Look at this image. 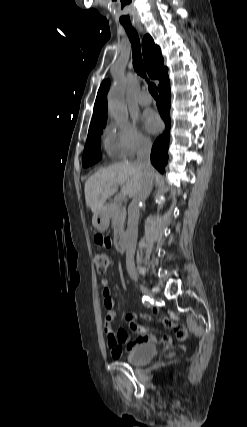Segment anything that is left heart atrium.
Masks as SVG:
<instances>
[{"mask_svg": "<svg viewBox=\"0 0 247 427\" xmlns=\"http://www.w3.org/2000/svg\"><path fill=\"white\" fill-rule=\"evenodd\" d=\"M145 128L151 133H157L162 128V122L157 114L149 112L144 117Z\"/></svg>", "mask_w": 247, "mask_h": 427, "instance_id": "1", "label": "left heart atrium"}]
</instances>
